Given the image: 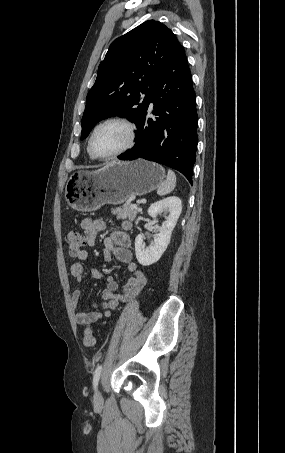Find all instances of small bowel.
<instances>
[{
    "label": "small bowel",
    "instance_id": "c3829d8e",
    "mask_svg": "<svg viewBox=\"0 0 285 453\" xmlns=\"http://www.w3.org/2000/svg\"><path fill=\"white\" fill-rule=\"evenodd\" d=\"M80 227L84 232L86 245L93 247L97 241L98 232L104 230L107 224L104 220L84 218ZM131 228V223L123 220L120 223V228L114 230L104 239L103 258L106 262H111L113 259L124 263L126 270L131 274L121 292L118 291V283L115 278L108 276L106 279V288L102 292L103 311L82 312L79 307L81 296L80 285L84 279L86 272L84 266L80 262H76L71 266V274L77 281V288L74 290L71 303L75 311V320L79 325H90L103 317H108L111 311L116 309L119 304L128 302L137 297L145 287L147 280L142 271L138 268L136 262L133 261L130 251L131 239L127 231ZM88 258V252L83 250L78 256L79 261H84ZM89 274L92 279L98 280L102 278V274L97 269H91Z\"/></svg>",
    "mask_w": 285,
    "mask_h": 453
}]
</instances>
